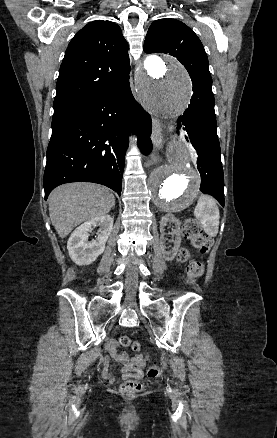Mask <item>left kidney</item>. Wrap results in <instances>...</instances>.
Returning <instances> with one entry per match:
<instances>
[{
    "label": "left kidney",
    "instance_id": "left-kidney-1",
    "mask_svg": "<svg viewBox=\"0 0 277 438\" xmlns=\"http://www.w3.org/2000/svg\"><path fill=\"white\" fill-rule=\"evenodd\" d=\"M167 222H174L175 226H178L177 230H174V232H171V234H173V236H175L174 248L172 250V254H169V252H165V246H163V244L161 246L164 260H166V262H172V260H174V258L176 256V254L180 248V244H181V236H180V228H179L181 222H179V220H177V218H175V216H173V214H170V212H168V214H165V216H163V218H161V222H160V232H161L160 240H161V242H163V240H164V226H167Z\"/></svg>",
    "mask_w": 277,
    "mask_h": 438
}]
</instances>
